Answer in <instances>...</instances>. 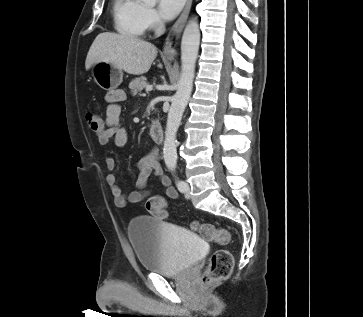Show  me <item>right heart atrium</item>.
I'll return each mask as SVG.
<instances>
[{
	"mask_svg": "<svg viewBox=\"0 0 363 317\" xmlns=\"http://www.w3.org/2000/svg\"><path fill=\"white\" fill-rule=\"evenodd\" d=\"M145 18L150 30H159L162 27V21L154 9L147 8Z\"/></svg>",
	"mask_w": 363,
	"mask_h": 317,
	"instance_id": "right-heart-atrium-1",
	"label": "right heart atrium"
}]
</instances>
